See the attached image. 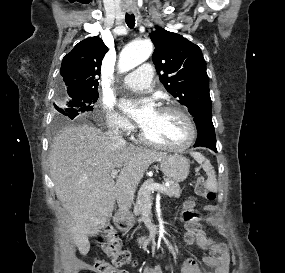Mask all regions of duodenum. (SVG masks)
<instances>
[{"label":"duodenum","mask_w":285,"mask_h":273,"mask_svg":"<svg viewBox=\"0 0 285 273\" xmlns=\"http://www.w3.org/2000/svg\"><path fill=\"white\" fill-rule=\"evenodd\" d=\"M115 223L119 226H125L127 224L126 220L123 218L121 212L119 211L115 216ZM152 239L146 236H142L139 238L140 244H149L151 243Z\"/></svg>","instance_id":"410a0bca"}]
</instances>
